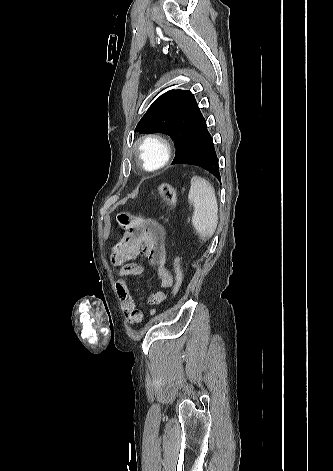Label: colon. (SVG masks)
Returning <instances> with one entry per match:
<instances>
[{
  "label": "colon",
  "mask_w": 333,
  "mask_h": 471,
  "mask_svg": "<svg viewBox=\"0 0 333 471\" xmlns=\"http://www.w3.org/2000/svg\"><path fill=\"white\" fill-rule=\"evenodd\" d=\"M152 194L158 195L170 208H174L177 204L176 189L168 183H162L155 187ZM174 274L175 281L173 285V295L177 296L183 283V271L181 266V256L179 253L174 255Z\"/></svg>",
  "instance_id": "colon-1"
}]
</instances>
